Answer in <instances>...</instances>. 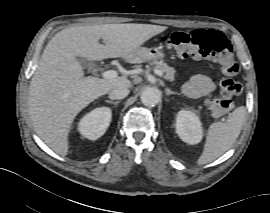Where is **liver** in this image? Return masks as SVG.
Masks as SVG:
<instances>
[{
    "mask_svg": "<svg viewBox=\"0 0 270 213\" xmlns=\"http://www.w3.org/2000/svg\"><path fill=\"white\" fill-rule=\"evenodd\" d=\"M166 29L151 24H104L74 26L55 34L44 49L29 88V115L42 141L66 156L69 131L77 114L112 89L132 87L124 76L84 77L78 57L89 61L130 59L138 47Z\"/></svg>",
    "mask_w": 270,
    "mask_h": 213,
    "instance_id": "6515ba94",
    "label": "liver"
}]
</instances>
